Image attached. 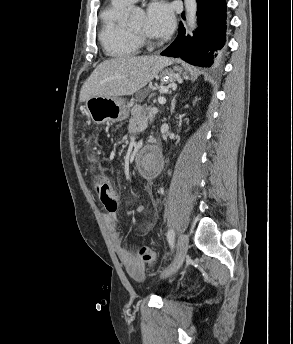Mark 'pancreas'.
<instances>
[{"label": "pancreas", "instance_id": "obj_1", "mask_svg": "<svg viewBox=\"0 0 293 344\" xmlns=\"http://www.w3.org/2000/svg\"><path fill=\"white\" fill-rule=\"evenodd\" d=\"M131 125L143 124L146 118V111L139 105H134L131 110Z\"/></svg>", "mask_w": 293, "mask_h": 344}]
</instances>
